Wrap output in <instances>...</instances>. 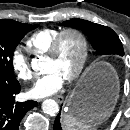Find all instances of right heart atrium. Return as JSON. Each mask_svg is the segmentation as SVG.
<instances>
[{"label": "right heart atrium", "mask_w": 130, "mask_h": 130, "mask_svg": "<svg viewBox=\"0 0 130 130\" xmlns=\"http://www.w3.org/2000/svg\"><path fill=\"white\" fill-rule=\"evenodd\" d=\"M11 65L20 79L27 81L33 78L29 59L21 49L17 48L12 52Z\"/></svg>", "instance_id": "right-heart-atrium-1"}]
</instances>
